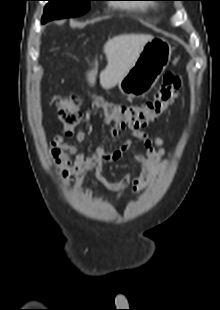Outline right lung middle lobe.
I'll use <instances>...</instances> for the list:
<instances>
[{
    "label": "right lung middle lobe",
    "mask_w": 220,
    "mask_h": 310,
    "mask_svg": "<svg viewBox=\"0 0 220 310\" xmlns=\"http://www.w3.org/2000/svg\"><path fill=\"white\" fill-rule=\"evenodd\" d=\"M45 6L42 23L53 19L75 17L84 14L93 0H48Z\"/></svg>",
    "instance_id": "obj_1"
}]
</instances>
